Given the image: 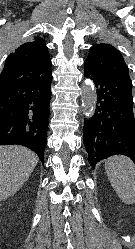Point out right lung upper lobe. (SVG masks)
<instances>
[{"mask_svg": "<svg viewBox=\"0 0 135 249\" xmlns=\"http://www.w3.org/2000/svg\"><path fill=\"white\" fill-rule=\"evenodd\" d=\"M51 65L45 41L36 36L7 57L0 75V86L47 79L52 76Z\"/></svg>", "mask_w": 135, "mask_h": 249, "instance_id": "right-lung-upper-lobe-1", "label": "right lung upper lobe"}]
</instances>
